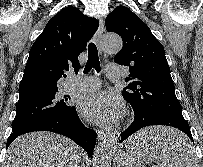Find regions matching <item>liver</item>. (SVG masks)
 Returning <instances> with one entry per match:
<instances>
[{"label":"liver","instance_id":"obj_1","mask_svg":"<svg viewBox=\"0 0 203 167\" xmlns=\"http://www.w3.org/2000/svg\"><path fill=\"white\" fill-rule=\"evenodd\" d=\"M149 133V134H148ZM167 135L183 138L170 128H148L131 137L128 143L137 144L148 136ZM81 152L70 139L48 132H32L18 137L7 150L2 167H81Z\"/></svg>","mask_w":203,"mask_h":167}]
</instances>
